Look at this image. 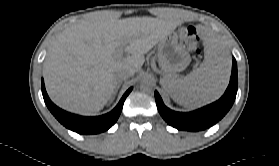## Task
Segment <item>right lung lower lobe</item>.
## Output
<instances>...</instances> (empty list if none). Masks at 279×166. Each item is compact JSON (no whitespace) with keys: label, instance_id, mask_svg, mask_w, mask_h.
Wrapping results in <instances>:
<instances>
[{"label":"right lung lower lobe","instance_id":"1","mask_svg":"<svg viewBox=\"0 0 279 166\" xmlns=\"http://www.w3.org/2000/svg\"><path fill=\"white\" fill-rule=\"evenodd\" d=\"M132 88L128 89L117 106L109 113L96 117H83L66 112L56 105H54L49 99L45 90L44 81L42 79V94L44 101L50 110V112L57 118V120L63 124L66 128L77 132L79 134H95L108 130L115 124L122 111L123 103L131 92Z\"/></svg>","mask_w":279,"mask_h":166}]
</instances>
